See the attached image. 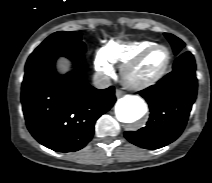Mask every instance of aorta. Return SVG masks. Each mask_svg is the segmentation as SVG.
Listing matches in <instances>:
<instances>
[{
    "mask_svg": "<svg viewBox=\"0 0 212 183\" xmlns=\"http://www.w3.org/2000/svg\"><path fill=\"white\" fill-rule=\"evenodd\" d=\"M146 112V103L135 95H125L117 101L115 106L116 117L124 123H134L141 119Z\"/></svg>",
    "mask_w": 212,
    "mask_h": 183,
    "instance_id": "obj_1",
    "label": "aorta"
}]
</instances>
